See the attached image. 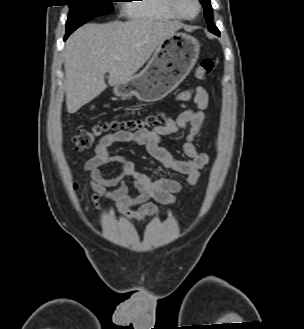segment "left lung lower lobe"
<instances>
[{"label":"left lung lower lobe","instance_id":"obj_1","mask_svg":"<svg viewBox=\"0 0 304 329\" xmlns=\"http://www.w3.org/2000/svg\"><path fill=\"white\" fill-rule=\"evenodd\" d=\"M210 31L216 35H219V30L217 29V27L214 25L213 29H210Z\"/></svg>","mask_w":304,"mask_h":329}]
</instances>
